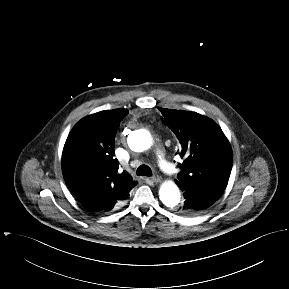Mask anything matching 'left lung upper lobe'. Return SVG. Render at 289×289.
Masks as SVG:
<instances>
[{"instance_id":"5c2ea615","label":"left lung upper lobe","mask_w":289,"mask_h":289,"mask_svg":"<svg viewBox=\"0 0 289 289\" xmlns=\"http://www.w3.org/2000/svg\"><path fill=\"white\" fill-rule=\"evenodd\" d=\"M162 119L181 143L177 184L182 191L219 199L232 169V149L221 128L210 118L190 111L160 108Z\"/></svg>"}]
</instances>
